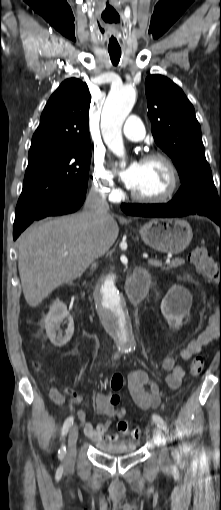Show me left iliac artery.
Segmentation results:
<instances>
[{"instance_id":"44dca946","label":"left iliac artery","mask_w":221,"mask_h":510,"mask_svg":"<svg viewBox=\"0 0 221 510\" xmlns=\"http://www.w3.org/2000/svg\"><path fill=\"white\" fill-rule=\"evenodd\" d=\"M152 419L160 428H162L165 432H168L167 424L162 417H160L157 414H154L152 416Z\"/></svg>"}]
</instances>
